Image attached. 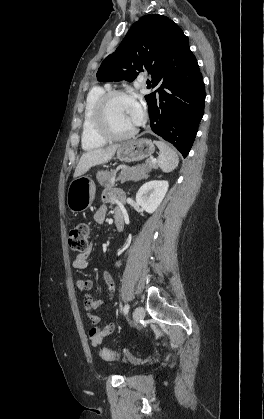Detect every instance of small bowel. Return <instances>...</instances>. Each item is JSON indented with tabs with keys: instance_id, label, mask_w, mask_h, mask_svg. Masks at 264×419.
Segmentation results:
<instances>
[{
	"instance_id": "1",
	"label": "small bowel",
	"mask_w": 264,
	"mask_h": 419,
	"mask_svg": "<svg viewBox=\"0 0 264 419\" xmlns=\"http://www.w3.org/2000/svg\"><path fill=\"white\" fill-rule=\"evenodd\" d=\"M121 197H122V194L119 192L107 191L104 193V200L106 202H112L117 205L120 204ZM106 213H107V208L105 205H102L95 212L94 220L97 223H103L106 217ZM118 214L123 216L122 211L120 209H117L115 216ZM89 254H90L89 251H86V252L76 255V257L72 261L73 268L80 269V270L88 268ZM102 279L107 284L110 299H113L115 287H114V282L111 276L107 273H102ZM76 286L81 292L84 293V308L88 314V317L92 326L89 330V338H90L91 344L94 347H97L102 344L103 340L106 337L114 333L115 325L112 322L99 325L101 320H100V317L94 313V310L102 304V301L94 300L89 293L93 287V279L91 278L78 279L76 281Z\"/></svg>"
}]
</instances>
